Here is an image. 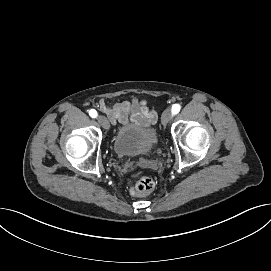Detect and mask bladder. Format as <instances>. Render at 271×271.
I'll list each match as a JSON object with an SVG mask.
<instances>
[{
    "label": "bladder",
    "instance_id": "1",
    "mask_svg": "<svg viewBox=\"0 0 271 271\" xmlns=\"http://www.w3.org/2000/svg\"><path fill=\"white\" fill-rule=\"evenodd\" d=\"M157 141V134L152 128L146 129L131 122L116 133L114 149L119 156L148 154L155 150Z\"/></svg>",
    "mask_w": 271,
    "mask_h": 271
}]
</instances>
